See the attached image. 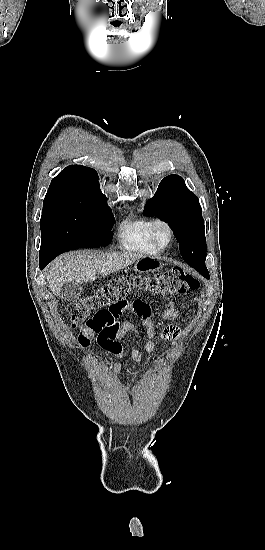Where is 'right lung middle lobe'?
<instances>
[{"instance_id":"obj_1","label":"right lung middle lobe","mask_w":265,"mask_h":550,"mask_svg":"<svg viewBox=\"0 0 265 550\" xmlns=\"http://www.w3.org/2000/svg\"><path fill=\"white\" fill-rule=\"evenodd\" d=\"M113 224L107 199L44 201L39 258L52 260L72 249L107 246Z\"/></svg>"}]
</instances>
